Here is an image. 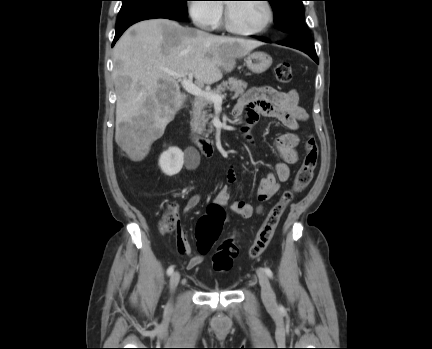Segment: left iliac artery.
Segmentation results:
<instances>
[{"label": "left iliac artery", "mask_w": 432, "mask_h": 349, "mask_svg": "<svg viewBox=\"0 0 432 349\" xmlns=\"http://www.w3.org/2000/svg\"><path fill=\"white\" fill-rule=\"evenodd\" d=\"M264 271H265V273L267 274V276H268L269 278H273V272L271 271L270 268L265 267V268H264Z\"/></svg>", "instance_id": "obj_1"}]
</instances>
